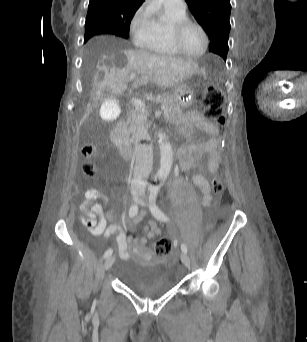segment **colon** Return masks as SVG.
I'll list each match as a JSON object with an SVG mask.
<instances>
[{
    "label": "colon",
    "instance_id": "1",
    "mask_svg": "<svg viewBox=\"0 0 307 342\" xmlns=\"http://www.w3.org/2000/svg\"><path fill=\"white\" fill-rule=\"evenodd\" d=\"M223 94L225 87L210 86L205 90L203 107L206 118L213 121L216 125L222 127L226 123V118L223 112ZM98 151L93 144L87 143L83 146L81 153L88 159L82 165V172L85 176L93 178L96 175V164L91 160ZM211 186L216 193L223 192L224 186L221 175L216 168H212V176L210 179ZM172 251L171 240L167 237H161L155 245L154 252L158 257H168Z\"/></svg>",
    "mask_w": 307,
    "mask_h": 342
}]
</instances>
